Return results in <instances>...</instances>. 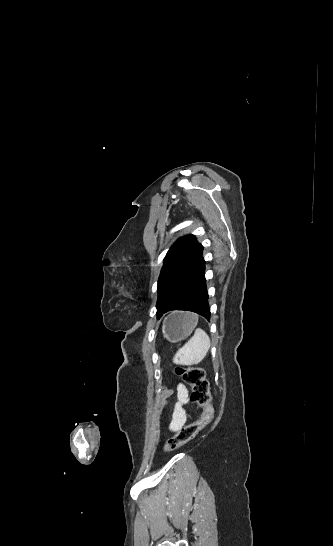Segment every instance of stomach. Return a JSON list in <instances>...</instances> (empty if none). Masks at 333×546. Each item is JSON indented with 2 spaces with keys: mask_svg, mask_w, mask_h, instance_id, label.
Here are the masks:
<instances>
[{
  "mask_svg": "<svg viewBox=\"0 0 333 546\" xmlns=\"http://www.w3.org/2000/svg\"><path fill=\"white\" fill-rule=\"evenodd\" d=\"M194 314L176 312L164 319L162 332L164 338L171 343L179 342L188 337L197 325Z\"/></svg>",
  "mask_w": 333,
  "mask_h": 546,
  "instance_id": "obj_1",
  "label": "stomach"
}]
</instances>
